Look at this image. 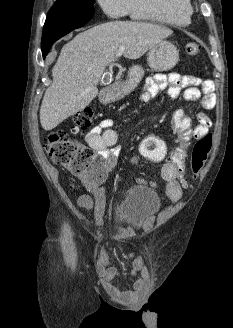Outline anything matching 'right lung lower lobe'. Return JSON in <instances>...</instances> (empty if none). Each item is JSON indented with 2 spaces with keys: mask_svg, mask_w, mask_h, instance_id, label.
I'll list each match as a JSON object with an SVG mask.
<instances>
[{
  "mask_svg": "<svg viewBox=\"0 0 233 328\" xmlns=\"http://www.w3.org/2000/svg\"><path fill=\"white\" fill-rule=\"evenodd\" d=\"M93 15H79V16H67V15H53L48 16L43 29L42 37V54L45 57L50 50L52 44L68 34L74 29H77L84 25Z\"/></svg>",
  "mask_w": 233,
  "mask_h": 328,
  "instance_id": "98d812e1",
  "label": "right lung lower lobe"
}]
</instances>
